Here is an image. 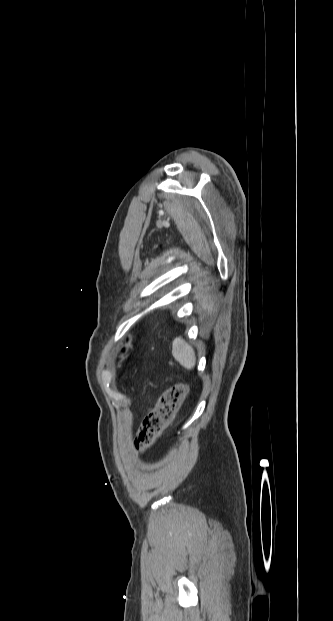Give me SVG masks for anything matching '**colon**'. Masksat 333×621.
<instances>
[{
    "mask_svg": "<svg viewBox=\"0 0 333 621\" xmlns=\"http://www.w3.org/2000/svg\"><path fill=\"white\" fill-rule=\"evenodd\" d=\"M187 392V384L179 382L162 393L154 408L143 419L137 432L134 441L137 451H143L156 442L178 411Z\"/></svg>",
    "mask_w": 333,
    "mask_h": 621,
    "instance_id": "obj_1",
    "label": "colon"
}]
</instances>
